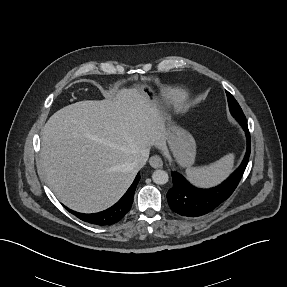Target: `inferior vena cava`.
<instances>
[{"mask_svg":"<svg viewBox=\"0 0 287 287\" xmlns=\"http://www.w3.org/2000/svg\"><path fill=\"white\" fill-rule=\"evenodd\" d=\"M149 157V150H144L135 158V160L131 163L133 169L140 170L146 163Z\"/></svg>","mask_w":287,"mask_h":287,"instance_id":"obj_1","label":"inferior vena cava"}]
</instances>
